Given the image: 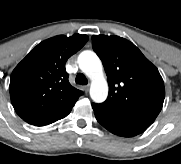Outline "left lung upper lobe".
I'll list each match as a JSON object with an SVG mask.
<instances>
[{
  "label": "left lung upper lobe",
  "mask_w": 181,
  "mask_h": 164,
  "mask_svg": "<svg viewBox=\"0 0 181 164\" xmlns=\"http://www.w3.org/2000/svg\"><path fill=\"white\" fill-rule=\"evenodd\" d=\"M92 43L108 78L109 94L104 104L153 123L165 98L158 69L124 38L93 35Z\"/></svg>",
  "instance_id": "1"
}]
</instances>
